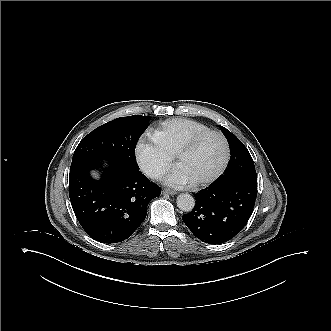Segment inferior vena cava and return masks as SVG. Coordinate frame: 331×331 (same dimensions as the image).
<instances>
[{"instance_id":"obj_1","label":"inferior vena cava","mask_w":331,"mask_h":331,"mask_svg":"<svg viewBox=\"0 0 331 331\" xmlns=\"http://www.w3.org/2000/svg\"><path fill=\"white\" fill-rule=\"evenodd\" d=\"M144 172L151 179L159 178L163 174L162 170L158 168H146Z\"/></svg>"}]
</instances>
